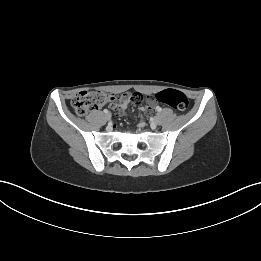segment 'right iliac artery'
Wrapping results in <instances>:
<instances>
[{"label":"right iliac artery","mask_w":261,"mask_h":261,"mask_svg":"<svg viewBox=\"0 0 261 261\" xmlns=\"http://www.w3.org/2000/svg\"><path fill=\"white\" fill-rule=\"evenodd\" d=\"M103 112H104V113H108V110H107V109H104Z\"/></svg>","instance_id":"82829eb1"}]
</instances>
